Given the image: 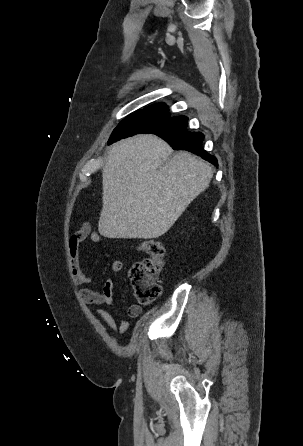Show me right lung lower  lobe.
<instances>
[{
  "label": "right lung lower lobe",
  "mask_w": 303,
  "mask_h": 446,
  "mask_svg": "<svg viewBox=\"0 0 303 446\" xmlns=\"http://www.w3.org/2000/svg\"><path fill=\"white\" fill-rule=\"evenodd\" d=\"M187 124L188 118L185 116H168L152 124L141 133L156 134L168 142L174 150L192 152L218 166L215 156L208 154L202 148L204 135L200 132L187 131Z\"/></svg>",
  "instance_id": "obj_1"
}]
</instances>
